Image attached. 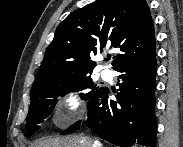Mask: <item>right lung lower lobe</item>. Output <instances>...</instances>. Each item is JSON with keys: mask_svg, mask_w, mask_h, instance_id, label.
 Here are the masks:
<instances>
[{"mask_svg": "<svg viewBox=\"0 0 183 147\" xmlns=\"http://www.w3.org/2000/svg\"><path fill=\"white\" fill-rule=\"evenodd\" d=\"M156 52L129 60L115 70L120 72L117 101L101 87L89 99L87 126L100 138L120 147L156 144L155 87ZM78 121L62 134L80 127Z\"/></svg>", "mask_w": 183, "mask_h": 147, "instance_id": "98d812e1", "label": "right lung lower lobe"}]
</instances>
